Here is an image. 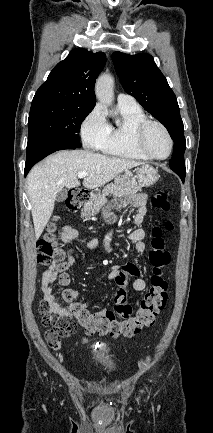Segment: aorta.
<instances>
[{"mask_svg": "<svg viewBox=\"0 0 213 433\" xmlns=\"http://www.w3.org/2000/svg\"><path fill=\"white\" fill-rule=\"evenodd\" d=\"M113 78L109 74H102L97 79L95 85V94L102 104H111L113 100Z\"/></svg>", "mask_w": 213, "mask_h": 433, "instance_id": "aorta-1", "label": "aorta"}]
</instances>
